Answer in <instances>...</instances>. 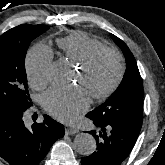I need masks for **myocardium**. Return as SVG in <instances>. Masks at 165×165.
<instances>
[{"label":"myocardium","mask_w":165,"mask_h":165,"mask_svg":"<svg viewBox=\"0 0 165 165\" xmlns=\"http://www.w3.org/2000/svg\"><path fill=\"white\" fill-rule=\"evenodd\" d=\"M104 54H110L115 57L118 64V71H117L114 81L106 90L100 93L90 94V96L94 100H104V99L109 98L111 95H113L114 92L120 86L125 74L126 67H125V61L122 54L118 50L114 48H109V47H101L91 52L82 62L78 64V69L82 73H86L94 65L97 59Z\"/></svg>","instance_id":"1"}]
</instances>
